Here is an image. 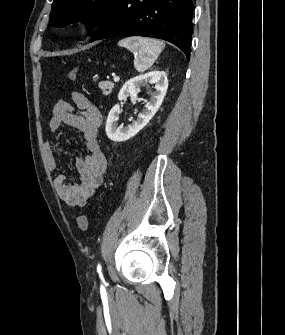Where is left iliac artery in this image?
<instances>
[{"label":"left iliac artery","mask_w":285,"mask_h":335,"mask_svg":"<svg viewBox=\"0 0 285 335\" xmlns=\"http://www.w3.org/2000/svg\"><path fill=\"white\" fill-rule=\"evenodd\" d=\"M97 272L101 275V265L100 264H98L97 266Z\"/></svg>","instance_id":"obj_1"}]
</instances>
